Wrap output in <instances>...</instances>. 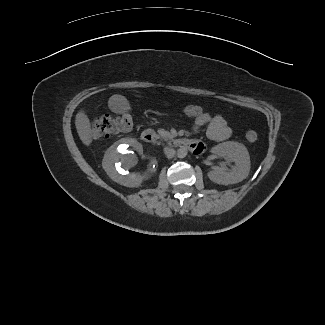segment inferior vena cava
Here are the masks:
<instances>
[{"label": "inferior vena cava", "instance_id": "602c4592", "mask_svg": "<svg viewBox=\"0 0 325 325\" xmlns=\"http://www.w3.org/2000/svg\"><path fill=\"white\" fill-rule=\"evenodd\" d=\"M164 152H165V155H166L168 158H172V157H174V155H175V150L172 149V148H169V147H165V148H164Z\"/></svg>", "mask_w": 325, "mask_h": 325}]
</instances>
